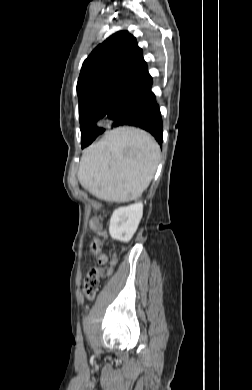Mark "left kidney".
<instances>
[{
	"label": "left kidney",
	"mask_w": 252,
	"mask_h": 390,
	"mask_svg": "<svg viewBox=\"0 0 252 390\" xmlns=\"http://www.w3.org/2000/svg\"><path fill=\"white\" fill-rule=\"evenodd\" d=\"M142 215V202L114 210L109 225L110 236L122 242H129L138 228Z\"/></svg>",
	"instance_id": "1"
}]
</instances>
